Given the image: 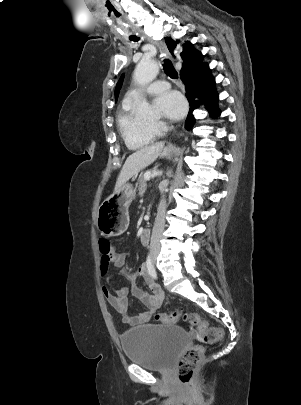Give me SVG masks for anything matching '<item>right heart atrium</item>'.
I'll return each mask as SVG.
<instances>
[{"label": "right heart atrium", "mask_w": 301, "mask_h": 405, "mask_svg": "<svg viewBox=\"0 0 301 405\" xmlns=\"http://www.w3.org/2000/svg\"><path fill=\"white\" fill-rule=\"evenodd\" d=\"M154 131H161L164 128V124L162 122H157L152 125Z\"/></svg>", "instance_id": "d8ad5b80"}]
</instances>
